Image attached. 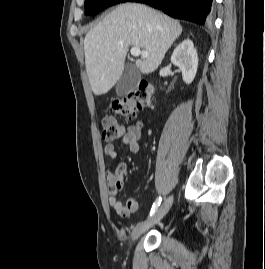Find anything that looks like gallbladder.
<instances>
[{"label":"gallbladder","instance_id":"bac80fb5","mask_svg":"<svg viewBox=\"0 0 265 269\" xmlns=\"http://www.w3.org/2000/svg\"><path fill=\"white\" fill-rule=\"evenodd\" d=\"M140 79V72L133 64H127L116 85L117 96H124L133 91Z\"/></svg>","mask_w":265,"mask_h":269}]
</instances>
